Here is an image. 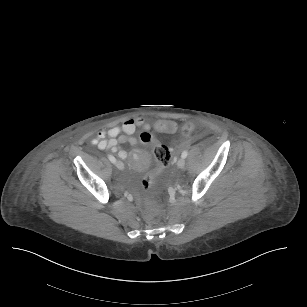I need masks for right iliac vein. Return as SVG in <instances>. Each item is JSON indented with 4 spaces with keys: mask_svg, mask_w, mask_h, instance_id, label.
Wrapping results in <instances>:
<instances>
[{
    "mask_svg": "<svg viewBox=\"0 0 307 307\" xmlns=\"http://www.w3.org/2000/svg\"><path fill=\"white\" fill-rule=\"evenodd\" d=\"M115 165L120 170H122L124 168V165L121 161H116Z\"/></svg>",
    "mask_w": 307,
    "mask_h": 307,
    "instance_id": "right-iliac-vein-1",
    "label": "right iliac vein"
}]
</instances>
